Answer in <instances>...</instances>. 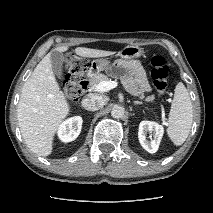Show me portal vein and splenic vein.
I'll list each match as a JSON object with an SVG mask.
<instances>
[{
	"mask_svg": "<svg viewBox=\"0 0 213 213\" xmlns=\"http://www.w3.org/2000/svg\"><path fill=\"white\" fill-rule=\"evenodd\" d=\"M117 84L116 81H102L95 86L94 90L97 92H107L117 87Z\"/></svg>",
	"mask_w": 213,
	"mask_h": 213,
	"instance_id": "portal-vein-and-splenic-vein-1",
	"label": "portal vein and splenic vein"
}]
</instances>
